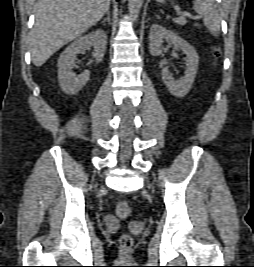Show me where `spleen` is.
Here are the masks:
<instances>
[{
    "label": "spleen",
    "instance_id": "1",
    "mask_svg": "<svg viewBox=\"0 0 254 267\" xmlns=\"http://www.w3.org/2000/svg\"><path fill=\"white\" fill-rule=\"evenodd\" d=\"M193 9L203 18L206 28L213 35H217L220 31L221 19L214 0H194Z\"/></svg>",
    "mask_w": 254,
    "mask_h": 267
}]
</instances>
